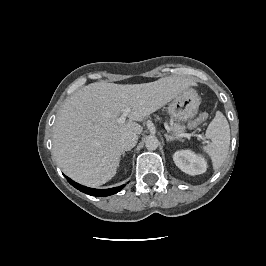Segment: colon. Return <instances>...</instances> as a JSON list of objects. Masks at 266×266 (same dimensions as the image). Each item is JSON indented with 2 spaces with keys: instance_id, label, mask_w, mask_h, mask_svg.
<instances>
[{
  "instance_id": "1",
  "label": "colon",
  "mask_w": 266,
  "mask_h": 266,
  "mask_svg": "<svg viewBox=\"0 0 266 266\" xmlns=\"http://www.w3.org/2000/svg\"><path fill=\"white\" fill-rule=\"evenodd\" d=\"M208 118L207 113L199 114L195 119L188 122V127L194 129L204 123Z\"/></svg>"
}]
</instances>
